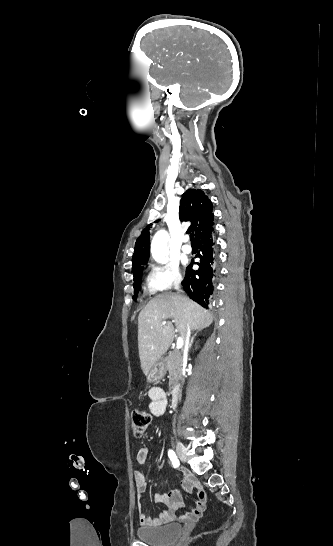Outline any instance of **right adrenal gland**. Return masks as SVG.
I'll return each instance as SVG.
<instances>
[{
  "label": "right adrenal gland",
  "instance_id": "2a0ac1e0",
  "mask_svg": "<svg viewBox=\"0 0 333 546\" xmlns=\"http://www.w3.org/2000/svg\"><path fill=\"white\" fill-rule=\"evenodd\" d=\"M201 330H202V329H200L199 331H201ZM199 331H196V333H194V335L191 337V341H190V345H189L190 348L192 347L194 337L197 335V333H198Z\"/></svg>",
  "mask_w": 333,
  "mask_h": 546
}]
</instances>
